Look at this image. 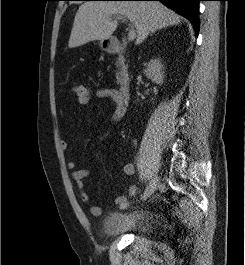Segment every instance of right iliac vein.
<instances>
[{
	"label": "right iliac vein",
	"mask_w": 245,
	"mask_h": 265,
	"mask_svg": "<svg viewBox=\"0 0 245 265\" xmlns=\"http://www.w3.org/2000/svg\"><path fill=\"white\" fill-rule=\"evenodd\" d=\"M157 185H158V177L155 176L152 181H151V186H150V189H149V193H148V197H150L154 191L156 190L157 188Z\"/></svg>",
	"instance_id": "right-iliac-vein-1"
}]
</instances>
